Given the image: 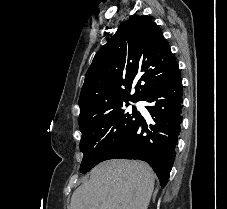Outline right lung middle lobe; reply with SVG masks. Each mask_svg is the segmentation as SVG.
Wrapping results in <instances>:
<instances>
[{
  "mask_svg": "<svg viewBox=\"0 0 227 209\" xmlns=\"http://www.w3.org/2000/svg\"><path fill=\"white\" fill-rule=\"evenodd\" d=\"M137 100L108 98L103 101L105 110L95 116L78 120L82 132L80 150L84 157L80 172L86 173L102 161V158L112 149L139 120L140 112L133 107L132 112H126L124 106Z\"/></svg>",
  "mask_w": 227,
  "mask_h": 209,
  "instance_id": "1",
  "label": "right lung middle lobe"
}]
</instances>
